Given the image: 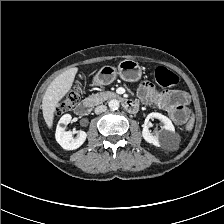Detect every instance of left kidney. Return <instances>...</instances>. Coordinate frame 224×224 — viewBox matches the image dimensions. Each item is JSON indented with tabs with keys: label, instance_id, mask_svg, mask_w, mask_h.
Listing matches in <instances>:
<instances>
[{
	"label": "left kidney",
	"instance_id": "5707ae66",
	"mask_svg": "<svg viewBox=\"0 0 224 224\" xmlns=\"http://www.w3.org/2000/svg\"><path fill=\"white\" fill-rule=\"evenodd\" d=\"M153 118L159 119L164 124L162 129L156 134L151 133L148 126L149 120ZM174 132V125L168 117L162 115L161 113L152 112L148 114L145 119L142 136L146 142L153 144L154 146H161L168 141L170 135Z\"/></svg>",
	"mask_w": 224,
	"mask_h": 224
}]
</instances>
